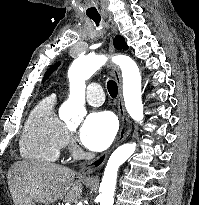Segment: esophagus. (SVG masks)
<instances>
[{
  "label": "esophagus",
  "instance_id": "esophagus-1",
  "mask_svg": "<svg viewBox=\"0 0 199 205\" xmlns=\"http://www.w3.org/2000/svg\"><path fill=\"white\" fill-rule=\"evenodd\" d=\"M111 32L114 34L116 32L115 27L113 24H110ZM114 49L110 45V53H113ZM117 86H118V95L116 99V105L118 110V116L120 119V130L118 133V136L113 143V145L104 153H102L97 158L83 164L80 167V174L85 176L88 172L96 171L100 169L106 162L108 156L113 151L115 147H117L119 144H121L123 141L127 139L131 132V122L129 117L126 114L124 102H123V96H122V78H121V72L120 69L116 65H111Z\"/></svg>",
  "mask_w": 199,
  "mask_h": 205
}]
</instances>
